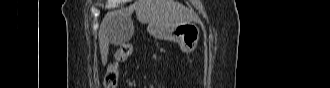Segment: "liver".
<instances>
[{
    "mask_svg": "<svg viewBox=\"0 0 330 88\" xmlns=\"http://www.w3.org/2000/svg\"><path fill=\"white\" fill-rule=\"evenodd\" d=\"M136 12L141 23H148V28L161 25H176L195 20L196 15L175 0H136L133 5L108 12L99 29V46L102 60L106 61L110 43H115L114 24L121 20L132 22L130 16Z\"/></svg>",
    "mask_w": 330,
    "mask_h": 88,
    "instance_id": "6515ba94",
    "label": "liver"
}]
</instances>
